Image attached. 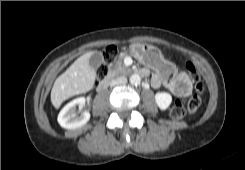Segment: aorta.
I'll return each mask as SVG.
<instances>
[{
    "label": "aorta",
    "mask_w": 245,
    "mask_h": 170,
    "mask_svg": "<svg viewBox=\"0 0 245 170\" xmlns=\"http://www.w3.org/2000/svg\"><path fill=\"white\" fill-rule=\"evenodd\" d=\"M141 81V77L138 74H133L130 77V83L132 85H138Z\"/></svg>",
    "instance_id": "aorta-1"
}]
</instances>
